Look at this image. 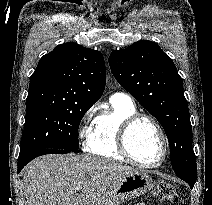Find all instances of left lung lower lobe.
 I'll list each match as a JSON object with an SVG mask.
<instances>
[{
	"mask_svg": "<svg viewBox=\"0 0 212 205\" xmlns=\"http://www.w3.org/2000/svg\"><path fill=\"white\" fill-rule=\"evenodd\" d=\"M176 175L184 180L185 182H187L191 188H193L195 182H196V177H197V173L193 174L190 172H180V173H176Z\"/></svg>",
	"mask_w": 212,
	"mask_h": 205,
	"instance_id": "0a47b994",
	"label": "left lung lower lobe"
}]
</instances>
